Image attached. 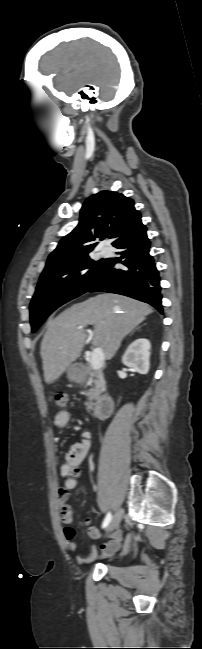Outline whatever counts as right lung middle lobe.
<instances>
[{"label": "right lung middle lobe", "mask_w": 202, "mask_h": 649, "mask_svg": "<svg viewBox=\"0 0 202 649\" xmlns=\"http://www.w3.org/2000/svg\"><path fill=\"white\" fill-rule=\"evenodd\" d=\"M106 262H95L86 254L75 261L70 271L40 278L30 304L32 332L56 308L85 293Z\"/></svg>", "instance_id": "right-lung-middle-lobe-1"}]
</instances>
